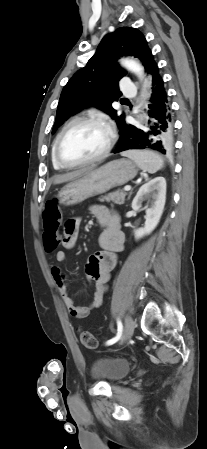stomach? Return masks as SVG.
<instances>
[{"label": "stomach", "instance_id": "stomach-1", "mask_svg": "<svg viewBox=\"0 0 207 449\" xmlns=\"http://www.w3.org/2000/svg\"><path fill=\"white\" fill-rule=\"evenodd\" d=\"M138 172L136 164L125 158L108 162L65 185L57 195L60 204L72 206L126 184Z\"/></svg>", "mask_w": 207, "mask_h": 449}]
</instances>
